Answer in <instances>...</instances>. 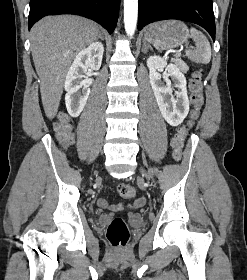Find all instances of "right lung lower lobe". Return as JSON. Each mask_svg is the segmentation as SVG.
<instances>
[{"label": "right lung lower lobe", "mask_w": 247, "mask_h": 280, "mask_svg": "<svg viewBox=\"0 0 247 280\" xmlns=\"http://www.w3.org/2000/svg\"><path fill=\"white\" fill-rule=\"evenodd\" d=\"M120 0H30L29 29L46 15L76 14L93 19L111 34L117 24Z\"/></svg>", "instance_id": "right-lung-lower-lobe-1"}]
</instances>
